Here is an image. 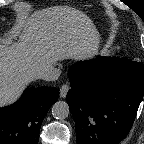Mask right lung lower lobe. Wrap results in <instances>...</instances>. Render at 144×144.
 Returning a JSON list of instances; mask_svg holds the SVG:
<instances>
[{"instance_id":"98d812e1","label":"right lung lower lobe","mask_w":144,"mask_h":144,"mask_svg":"<svg viewBox=\"0 0 144 144\" xmlns=\"http://www.w3.org/2000/svg\"><path fill=\"white\" fill-rule=\"evenodd\" d=\"M56 88H26L13 105L0 108V144H38L42 121L57 101Z\"/></svg>"}]
</instances>
